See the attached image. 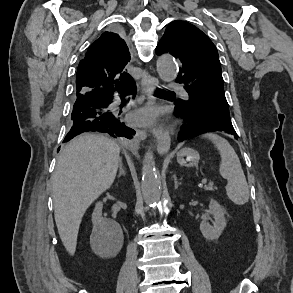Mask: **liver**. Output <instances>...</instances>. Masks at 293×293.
<instances>
[{
	"instance_id": "liver-1",
	"label": "liver",
	"mask_w": 293,
	"mask_h": 293,
	"mask_svg": "<svg viewBox=\"0 0 293 293\" xmlns=\"http://www.w3.org/2000/svg\"><path fill=\"white\" fill-rule=\"evenodd\" d=\"M120 147L99 134H83L61 152L52 178L54 216L61 241L74 255L88 207L114 182Z\"/></svg>"
}]
</instances>
